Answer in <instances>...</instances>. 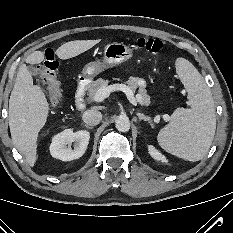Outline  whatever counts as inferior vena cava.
<instances>
[{"label":"inferior vena cava","mask_w":233,"mask_h":233,"mask_svg":"<svg viewBox=\"0 0 233 233\" xmlns=\"http://www.w3.org/2000/svg\"><path fill=\"white\" fill-rule=\"evenodd\" d=\"M82 118L84 123L90 126H94L100 123L102 114L97 110H87L83 113Z\"/></svg>","instance_id":"inferior-vena-cava-1"}]
</instances>
